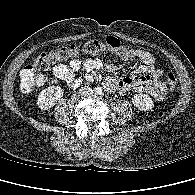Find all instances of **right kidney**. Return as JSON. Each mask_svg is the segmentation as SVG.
Here are the masks:
<instances>
[{
  "mask_svg": "<svg viewBox=\"0 0 195 195\" xmlns=\"http://www.w3.org/2000/svg\"><path fill=\"white\" fill-rule=\"evenodd\" d=\"M63 95L64 91L60 86L47 87L39 93L37 106L41 110H49Z\"/></svg>",
  "mask_w": 195,
  "mask_h": 195,
  "instance_id": "ca27d5eb",
  "label": "right kidney"
}]
</instances>
